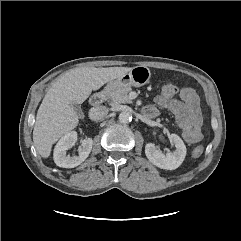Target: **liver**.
<instances>
[{
    "mask_svg": "<svg viewBox=\"0 0 241 241\" xmlns=\"http://www.w3.org/2000/svg\"><path fill=\"white\" fill-rule=\"evenodd\" d=\"M130 67L76 68L63 74L46 93L36 115L33 142L43 158L64 134L78 125L72 104H82L93 90L129 72Z\"/></svg>",
    "mask_w": 241,
    "mask_h": 241,
    "instance_id": "6515ba94",
    "label": "liver"
}]
</instances>
